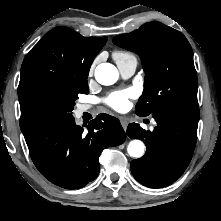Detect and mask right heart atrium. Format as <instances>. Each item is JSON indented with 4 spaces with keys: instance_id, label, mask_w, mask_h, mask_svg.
Segmentation results:
<instances>
[{
    "instance_id": "1",
    "label": "right heart atrium",
    "mask_w": 221,
    "mask_h": 221,
    "mask_svg": "<svg viewBox=\"0 0 221 221\" xmlns=\"http://www.w3.org/2000/svg\"><path fill=\"white\" fill-rule=\"evenodd\" d=\"M93 68L90 69V73L92 72Z\"/></svg>"
}]
</instances>
